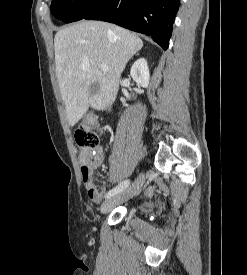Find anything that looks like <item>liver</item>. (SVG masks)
Listing matches in <instances>:
<instances>
[{
    "label": "liver",
    "instance_id": "6515ba94",
    "mask_svg": "<svg viewBox=\"0 0 247 275\" xmlns=\"http://www.w3.org/2000/svg\"><path fill=\"white\" fill-rule=\"evenodd\" d=\"M142 47L134 33L101 21H81L56 33V74L70 126L89 107L105 110L115 101L121 73Z\"/></svg>",
    "mask_w": 247,
    "mask_h": 275
}]
</instances>
